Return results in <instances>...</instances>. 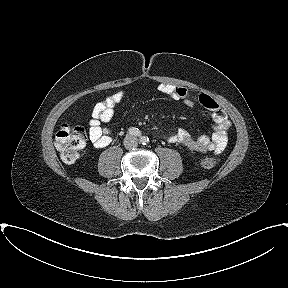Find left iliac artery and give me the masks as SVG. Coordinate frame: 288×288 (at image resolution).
I'll return each mask as SVG.
<instances>
[{"label": "left iliac artery", "instance_id": "obj_1", "mask_svg": "<svg viewBox=\"0 0 288 288\" xmlns=\"http://www.w3.org/2000/svg\"><path fill=\"white\" fill-rule=\"evenodd\" d=\"M148 138L147 137H145V136H142L141 138H140V142L142 143V144H144V145H146V143L148 142Z\"/></svg>", "mask_w": 288, "mask_h": 288}]
</instances>
